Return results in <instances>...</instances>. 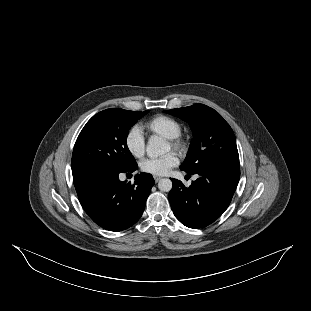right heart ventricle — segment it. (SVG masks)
Segmentation results:
<instances>
[{"label": "right heart ventricle", "instance_id": "obj_1", "mask_svg": "<svg viewBox=\"0 0 311 311\" xmlns=\"http://www.w3.org/2000/svg\"><path fill=\"white\" fill-rule=\"evenodd\" d=\"M145 128L153 134L165 139L181 136L184 131L183 124L176 118L168 115H157L145 123Z\"/></svg>", "mask_w": 311, "mask_h": 311}]
</instances>
